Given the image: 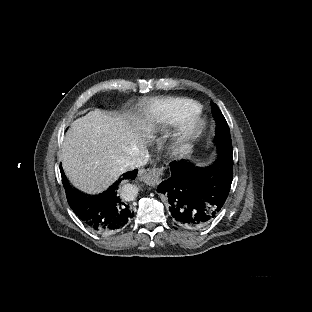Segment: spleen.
I'll return each instance as SVG.
<instances>
[{
  "mask_svg": "<svg viewBox=\"0 0 312 312\" xmlns=\"http://www.w3.org/2000/svg\"><path fill=\"white\" fill-rule=\"evenodd\" d=\"M210 164V162H199L196 164V166L198 167H205V166H208Z\"/></svg>",
  "mask_w": 312,
  "mask_h": 312,
  "instance_id": "1",
  "label": "spleen"
}]
</instances>
